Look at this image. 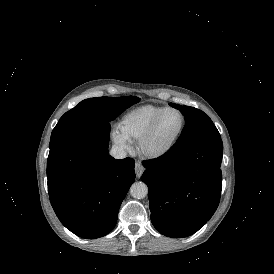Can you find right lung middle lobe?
Wrapping results in <instances>:
<instances>
[{"label":"right lung middle lobe","instance_id":"right-lung-middle-lobe-1","mask_svg":"<svg viewBox=\"0 0 274 274\" xmlns=\"http://www.w3.org/2000/svg\"><path fill=\"white\" fill-rule=\"evenodd\" d=\"M139 101L140 99L135 96L98 97L81 101L58 121L51 134L50 148L95 124L114 120L125 109Z\"/></svg>","mask_w":274,"mask_h":274}]
</instances>
